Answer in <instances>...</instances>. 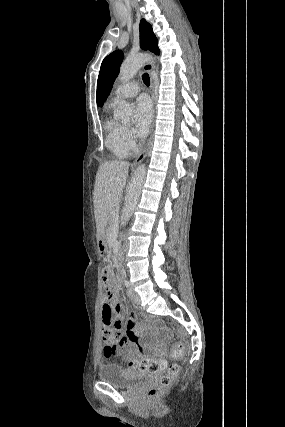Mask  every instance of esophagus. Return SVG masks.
<instances>
[{
  "label": "esophagus",
  "instance_id": "obj_1",
  "mask_svg": "<svg viewBox=\"0 0 285 427\" xmlns=\"http://www.w3.org/2000/svg\"><path fill=\"white\" fill-rule=\"evenodd\" d=\"M144 70L146 72L149 73L150 75V80H151V97L153 100V116H152V124H151V131H150V136L148 139V142L144 148V150L135 158L133 164L136 166L138 165L140 162H142L144 160V158L146 157L150 145H151V140L153 137V133H154V128H155V114H156V95H155V79H154V75H153V64L152 62L148 61L144 64L143 66Z\"/></svg>",
  "mask_w": 285,
  "mask_h": 427
}]
</instances>
